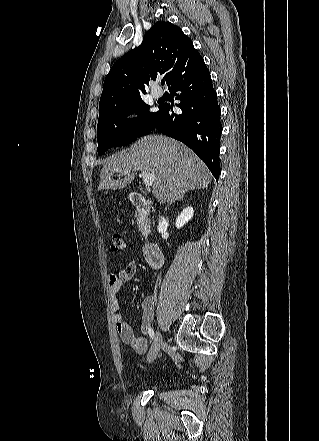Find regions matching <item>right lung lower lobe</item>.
Listing matches in <instances>:
<instances>
[{
  "label": "right lung lower lobe",
  "instance_id": "right-lung-lower-lobe-1",
  "mask_svg": "<svg viewBox=\"0 0 319 441\" xmlns=\"http://www.w3.org/2000/svg\"><path fill=\"white\" fill-rule=\"evenodd\" d=\"M169 91L181 100L178 107L182 113L175 114L168 104H161L154 128L190 147L217 180L220 173L221 110L204 60L176 79Z\"/></svg>",
  "mask_w": 319,
  "mask_h": 441
}]
</instances>
